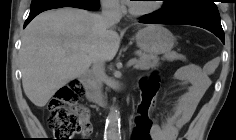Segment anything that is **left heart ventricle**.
<instances>
[{
    "instance_id": "obj_1",
    "label": "left heart ventricle",
    "mask_w": 236,
    "mask_h": 140,
    "mask_svg": "<svg viewBox=\"0 0 236 140\" xmlns=\"http://www.w3.org/2000/svg\"><path fill=\"white\" fill-rule=\"evenodd\" d=\"M150 2H154V1H136V3H133V5L136 8H147L153 5V3Z\"/></svg>"
}]
</instances>
